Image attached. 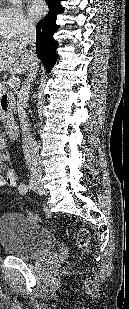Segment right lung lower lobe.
<instances>
[{
    "label": "right lung lower lobe",
    "mask_w": 129,
    "mask_h": 309,
    "mask_svg": "<svg viewBox=\"0 0 129 309\" xmlns=\"http://www.w3.org/2000/svg\"><path fill=\"white\" fill-rule=\"evenodd\" d=\"M62 0H46L49 13L36 26V48L39 59L43 62L46 70L50 72L57 58V43L53 38L59 26L56 24V17L63 12L60 5Z\"/></svg>",
    "instance_id": "1"
}]
</instances>
